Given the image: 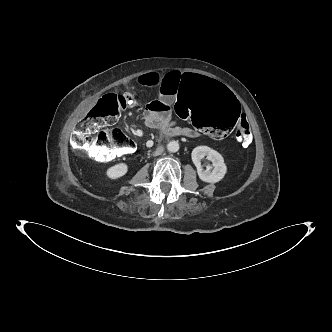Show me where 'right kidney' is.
<instances>
[{
	"instance_id": "1",
	"label": "right kidney",
	"mask_w": 332,
	"mask_h": 332,
	"mask_svg": "<svg viewBox=\"0 0 332 332\" xmlns=\"http://www.w3.org/2000/svg\"><path fill=\"white\" fill-rule=\"evenodd\" d=\"M128 172V165L126 163H118L109 167L106 171V176L110 179H118Z\"/></svg>"
}]
</instances>
